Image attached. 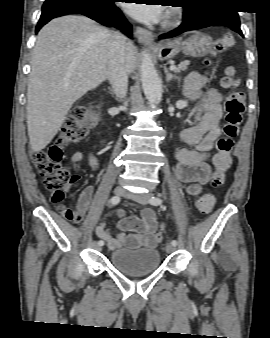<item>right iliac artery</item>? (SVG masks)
Returning a JSON list of instances; mask_svg holds the SVG:
<instances>
[{
  "label": "right iliac artery",
  "instance_id": "obj_1",
  "mask_svg": "<svg viewBox=\"0 0 270 338\" xmlns=\"http://www.w3.org/2000/svg\"><path fill=\"white\" fill-rule=\"evenodd\" d=\"M110 202L112 205H116L120 202V197L119 196H113L111 199H110ZM98 245L99 246H103L104 245V241L103 240H99L98 241Z\"/></svg>",
  "mask_w": 270,
  "mask_h": 338
}]
</instances>
